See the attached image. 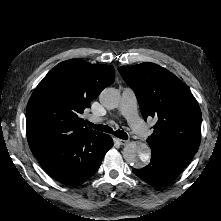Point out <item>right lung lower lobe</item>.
Listing matches in <instances>:
<instances>
[{
	"mask_svg": "<svg viewBox=\"0 0 221 221\" xmlns=\"http://www.w3.org/2000/svg\"><path fill=\"white\" fill-rule=\"evenodd\" d=\"M112 146L113 140L107 134H84L36 158L52 178L65 185L78 186L96 173Z\"/></svg>",
	"mask_w": 221,
	"mask_h": 221,
	"instance_id": "obj_1",
	"label": "right lung lower lobe"
}]
</instances>
